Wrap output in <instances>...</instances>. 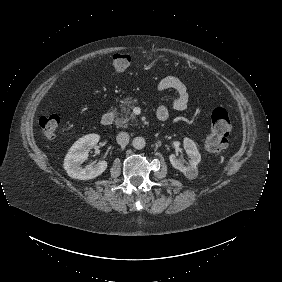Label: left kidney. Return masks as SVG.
<instances>
[{"instance_id":"obj_1","label":"left kidney","mask_w":282,"mask_h":282,"mask_svg":"<svg viewBox=\"0 0 282 282\" xmlns=\"http://www.w3.org/2000/svg\"><path fill=\"white\" fill-rule=\"evenodd\" d=\"M183 147L189 159V165L185 166L183 161L178 159L177 154L170 155V162L175 169L182 172L188 179H195L198 175L197 164L201 161V156L197 151L195 143L189 138H184Z\"/></svg>"}]
</instances>
